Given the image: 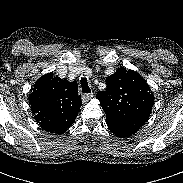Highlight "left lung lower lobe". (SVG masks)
Wrapping results in <instances>:
<instances>
[{
    "label": "left lung lower lobe",
    "mask_w": 183,
    "mask_h": 183,
    "mask_svg": "<svg viewBox=\"0 0 183 183\" xmlns=\"http://www.w3.org/2000/svg\"><path fill=\"white\" fill-rule=\"evenodd\" d=\"M106 124L110 129V131L119 137L130 136L140 129L133 126H123V125H120L114 122H109V121H106Z\"/></svg>",
    "instance_id": "0a47b994"
}]
</instances>
